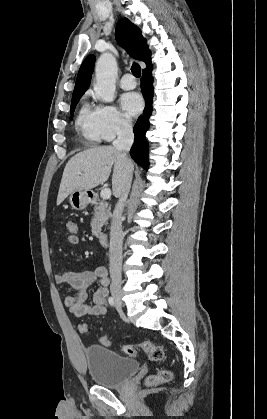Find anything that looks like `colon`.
I'll list each match as a JSON object with an SVG mask.
<instances>
[{"label": "colon", "instance_id": "5ec220e1", "mask_svg": "<svg viewBox=\"0 0 267 419\" xmlns=\"http://www.w3.org/2000/svg\"><path fill=\"white\" fill-rule=\"evenodd\" d=\"M65 229L68 233V242L76 245L79 242L78 225L75 221H67L65 223ZM79 331L82 334L88 332V325L82 323L79 326ZM100 342L104 346L110 345V339L108 336H103ZM125 354L129 356H135L139 350H142L148 355V358L153 362H160L164 359L165 353L161 346H158L150 341H143L139 344H126L122 347ZM172 378V372L169 369H161L158 373L148 377L147 381L149 384H158L161 382L169 381Z\"/></svg>", "mask_w": 267, "mask_h": 419}]
</instances>
